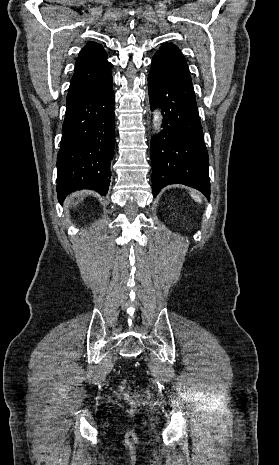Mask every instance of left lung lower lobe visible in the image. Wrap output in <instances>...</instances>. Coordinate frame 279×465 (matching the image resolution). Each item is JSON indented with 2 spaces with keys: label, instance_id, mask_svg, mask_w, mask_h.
<instances>
[{
  "label": "left lung lower lobe",
  "instance_id": "0a47b994",
  "mask_svg": "<svg viewBox=\"0 0 279 465\" xmlns=\"http://www.w3.org/2000/svg\"><path fill=\"white\" fill-rule=\"evenodd\" d=\"M148 75L150 105L164 113L151 144L153 197L169 184H184L210 196L208 153L186 62L155 54Z\"/></svg>",
  "mask_w": 279,
  "mask_h": 465
}]
</instances>
